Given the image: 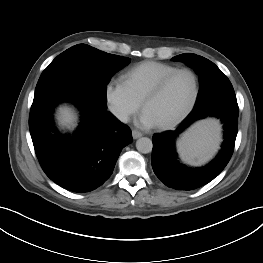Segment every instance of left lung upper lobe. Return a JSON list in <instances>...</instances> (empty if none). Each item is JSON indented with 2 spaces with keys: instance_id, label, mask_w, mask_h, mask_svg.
<instances>
[{
  "instance_id": "5c2ea615",
  "label": "left lung upper lobe",
  "mask_w": 263,
  "mask_h": 263,
  "mask_svg": "<svg viewBox=\"0 0 263 263\" xmlns=\"http://www.w3.org/2000/svg\"><path fill=\"white\" fill-rule=\"evenodd\" d=\"M183 61L199 75L200 90L196 105L219 95H234V89L227 76L210 60L196 54H181L172 58Z\"/></svg>"
}]
</instances>
